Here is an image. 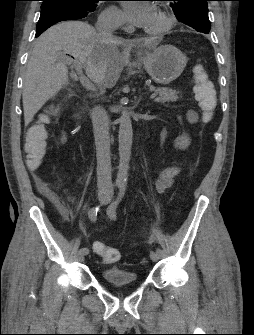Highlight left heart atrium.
Returning a JSON list of instances; mask_svg holds the SVG:
<instances>
[{
  "label": "left heart atrium",
  "instance_id": "1",
  "mask_svg": "<svg viewBox=\"0 0 254 335\" xmlns=\"http://www.w3.org/2000/svg\"><path fill=\"white\" fill-rule=\"evenodd\" d=\"M127 20L140 29L151 31L150 27L155 18L156 11L147 1H127L123 4Z\"/></svg>",
  "mask_w": 254,
  "mask_h": 335
}]
</instances>
